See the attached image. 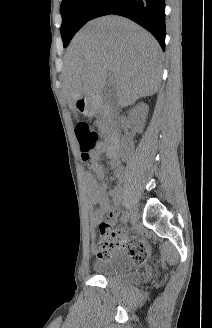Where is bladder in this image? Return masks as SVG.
<instances>
[{"mask_svg": "<svg viewBox=\"0 0 212 328\" xmlns=\"http://www.w3.org/2000/svg\"><path fill=\"white\" fill-rule=\"evenodd\" d=\"M94 271L110 281L122 283H135L141 274L135 266L124 257H112L105 261H98L93 265Z\"/></svg>", "mask_w": 212, "mask_h": 328, "instance_id": "bladder-1", "label": "bladder"}]
</instances>
